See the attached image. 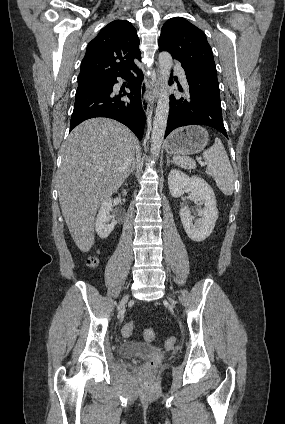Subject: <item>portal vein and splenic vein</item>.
<instances>
[{
  "label": "portal vein and splenic vein",
  "mask_w": 285,
  "mask_h": 424,
  "mask_svg": "<svg viewBox=\"0 0 285 424\" xmlns=\"http://www.w3.org/2000/svg\"><path fill=\"white\" fill-rule=\"evenodd\" d=\"M201 165H203V166H204V165H205V163H201Z\"/></svg>",
  "instance_id": "18ae733b"
}]
</instances>
